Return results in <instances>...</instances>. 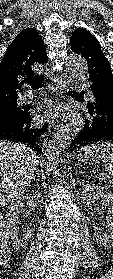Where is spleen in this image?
<instances>
[{
  "label": "spleen",
  "instance_id": "3e777b00",
  "mask_svg": "<svg viewBox=\"0 0 113 279\" xmlns=\"http://www.w3.org/2000/svg\"><path fill=\"white\" fill-rule=\"evenodd\" d=\"M85 153H93L98 155V157L105 164V167L109 173L113 176V144L112 143H97L92 145H87L82 148Z\"/></svg>",
  "mask_w": 113,
  "mask_h": 279
}]
</instances>
